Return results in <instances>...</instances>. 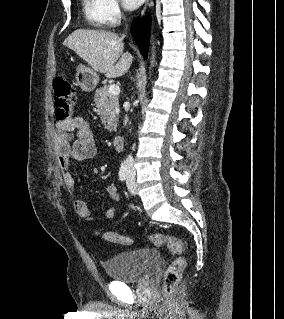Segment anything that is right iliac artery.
<instances>
[{
  "label": "right iliac artery",
  "mask_w": 284,
  "mask_h": 319,
  "mask_svg": "<svg viewBox=\"0 0 284 319\" xmlns=\"http://www.w3.org/2000/svg\"><path fill=\"white\" fill-rule=\"evenodd\" d=\"M126 173H127V166L125 162L121 164V167L119 169V178L121 181H124L126 178Z\"/></svg>",
  "instance_id": "1"
}]
</instances>
